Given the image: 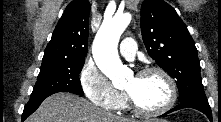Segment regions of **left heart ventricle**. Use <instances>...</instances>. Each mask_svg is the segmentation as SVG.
Here are the masks:
<instances>
[{
  "mask_svg": "<svg viewBox=\"0 0 221 122\" xmlns=\"http://www.w3.org/2000/svg\"><path fill=\"white\" fill-rule=\"evenodd\" d=\"M128 92L139 106L145 109H158L168 100L169 92L164 79L158 74L131 77L126 86Z\"/></svg>",
  "mask_w": 221,
  "mask_h": 122,
  "instance_id": "1",
  "label": "left heart ventricle"
}]
</instances>
